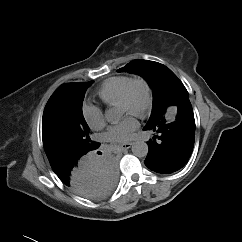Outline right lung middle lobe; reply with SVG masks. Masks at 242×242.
Here are the masks:
<instances>
[{"label":"right lung middle lobe","mask_w":242,"mask_h":242,"mask_svg":"<svg viewBox=\"0 0 242 242\" xmlns=\"http://www.w3.org/2000/svg\"><path fill=\"white\" fill-rule=\"evenodd\" d=\"M93 81L80 83L70 93L49 99L42 119V139L52 165L80 157L98 148L89 137V127L82 114L87 88Z\"/></svg>","instance_id":"right-lung-middle-lobe-1"}]
</instances>
